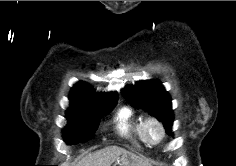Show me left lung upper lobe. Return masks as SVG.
I'll return each mask as SVG.
<instances>
[{
    "instance_id": "1",
    "label": "left lung upper lobe",
    "mask_w": 236,
    "mask_h": 166,
    "mask_svg": "<svg viewBox=\"0 0 236 166\" xmlns=\"http://www.w3.org/2000/svg\"><path fill=\"white\" fill-rule=\"evenodd\" d=\"M129 103L137 108H144L149 114L161 121L170 135L173 123L171 98L158 80L140 81L134 86L121 90Z\"/></svg>"
}]
</instances>
